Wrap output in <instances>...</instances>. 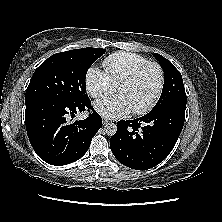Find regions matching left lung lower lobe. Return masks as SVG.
<instances>
[{
    "label": "left lung lower lobe",
    "instance_id": "0a47b994",
    "mask_svg": "<svg viewBox=\"0 0 222 222\" xmlns=\"http://www.w3.org/2000/svg\"><path fill=\"white\" fill-rule=\"evenodd\" d=\"M186 102L173 101L153 108L134 120L117 122L111 151L127 167L147 170L162 162L173 149L184 125Z\"/></svg>",
    "mask_w": 222,
    "mask_h": 222
}]
</instances>
